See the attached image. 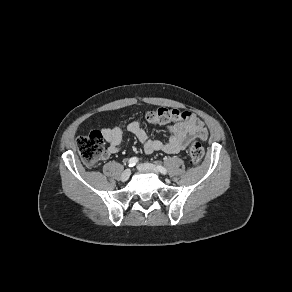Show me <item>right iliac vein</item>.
Returning a JSON list of instances; mask_svg holds the SVG:
<instances>
[{
	"mask_svg": "<svg viewBox=\"0 0 292 292\" xmlns=\"http://www.w3.org/2000/svg\"><path fill=\"white\" fill-rule=\"evenodd\" d=\"M130 174H131V170L130 169H126L122 174H121V181L125 182L129 179L130 177Z\"/></svg>",
	"mask_w": 292,
	"mask_h": 292,
	"instance_id": "1",
	"label": "right iliac vein"
}]
</instances>
